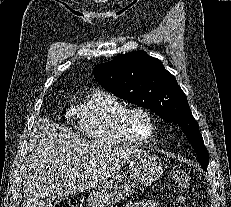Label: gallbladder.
<instances>
[{
  "mask_svg": "<svg viewBox=\"0 0 231 207\" xmlns=\"http://www.w3.org/2000/svg\"><path fill=\"white\" fill-rule=\"evenodd\" d=\"M58 196L56 194H51L46 197V205H50L51 203H57Z\"/></svg>",
  "mask_w": 231,
  "mask_h": 207,
  "instance_id": "bac80fb5",
  "label": "gallbladder"
}]
</instances>
